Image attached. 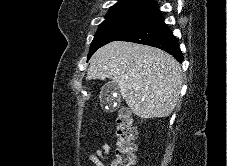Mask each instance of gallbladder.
Instances as JSON below:
<instances>
[{
  "label": "gallbladder",
  "mask_w": 227,
  "mask_h": 166,
  "mask_svg": "<svg viewBox=\"0 0 227 166\" xmlns=\"http://www.w3.org/2000/svg\"><path fill=\"white\" fill-rule=\"evenodd\" d=\"M99 97L104 109L107 107V111L115 110L114 103H118L120 100V89L117 82L111 80L103 85Z\"/></svg>",
  "instance_id": "bac80fb5"
}]
</instances>
